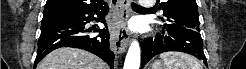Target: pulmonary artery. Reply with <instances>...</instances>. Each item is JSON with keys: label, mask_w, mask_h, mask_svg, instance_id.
<instances>
[{"label": "pulmonary artery", "mask_w": 246, "mask_h": 69, "mask_svg": "<svg viewBox=\"0 0 246 69\" xmlns=\"http://www.w3.org/2000/svg\"><path fill=\"white\" fill-rule=\"evenodd\" d=\"M140 3L144 8H150L153 6V2H149V1H141Z\"/></svg>", "instance_id": "obj_1"}]
</instances>
